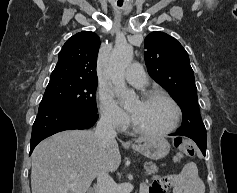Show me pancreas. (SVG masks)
Returning <instances> with one entry per match:
<instances>
[{
    "mask_svg": "<svg viewBox=\"0 0 237 193\" xmlns=\"http://www.w3.org/2000/svg\"><path fill=\"white\" fill-rule=\"evenodd\" d=\"M146 174L151 175L158 172V167L153 162L145 163Z\"/></svg>",
    "mask_w": 237,
    "mask_h": 193,
    "instance_id": "pancreas-1",
    "label": "pancreas"
}]
</instances>
